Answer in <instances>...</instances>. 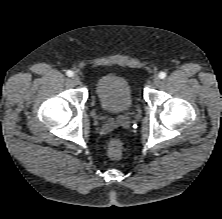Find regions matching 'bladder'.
Listing matches in <instances>:
<instances>
[{
  "mask_svg": "<svg viewBox=\"0 0 222 219\" xmlns=\"http://www.w3.org/2000/svg\"><path fill=\"white\" fill-rule=\"evenodd\" d=\"M95 93L100 107L112 115L127 113L133 105V96L128 79L121 74L108 73L95 84Z\"/></svg>",
  "mask_w": 222,
  "mask_h": 219,
  "instance_id": "31cf9c89",
  "label": "bladder"
}]
</instances>
